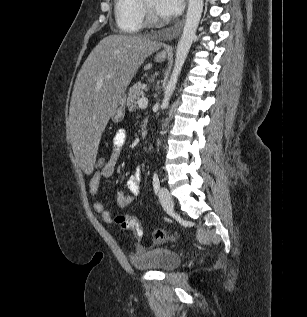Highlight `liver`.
<instances>
[{
	"label": "liver",
	"instance_id": "6515ba94",
	"mask_svg": "<svg viewBox=\"0 0 307 317\" xmlns=\"http://www.w3.org/2000/svg\"><path fill=\"white\" fill-rule=\"evenodd\" d=\"M161 44L143 36L103 38L82 65L72 92L69 133L82 175L94 170L98 143L120 99L145 59Z\"/></svg>",
	"mask_w": 307,
	"mask_h": 317
}]
</instances>
